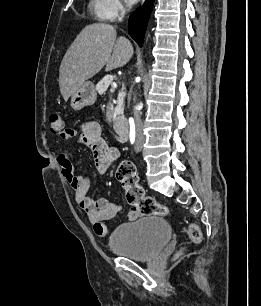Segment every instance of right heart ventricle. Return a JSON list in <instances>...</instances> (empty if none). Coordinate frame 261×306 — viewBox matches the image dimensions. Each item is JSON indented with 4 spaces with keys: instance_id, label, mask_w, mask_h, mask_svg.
<instances>
[{
    "instance_id": "1",
    "label": "right heart ventricle",
    "mask_w": 261,
    "mask_h": 306,
    "mask_svg": "<svg viewBox=\"0 0 261 306\" xmlns=\"http://www.w3.org/2000/svg\"><path fill=\"white\" fill-rule=\"evenodd\" d=\"M89 6L97 17L104 19V14H103L104 1L103 0H90Z\"/></svg>"
}]
</instances>
